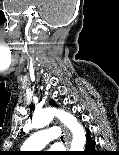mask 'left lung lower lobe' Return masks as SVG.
I'll use <instances>...</instances> for the list:
<instances>
[{
  "instance_id": "obj_1",
  "label": "left lung lower lobe",
  "mask_w": 119,
  "mask_h": 155,
  "mask_svg": "<svg viewBox=\"0 0 119 155\" xmlns=\"http://www.w3.org/2000/svg\"><path fill=\"white\" fill-rule=\"evenodd\" d=\"M83 155H96L95 141L90 136V130H87V143Z\"/></svg>"
}]
</instances>
